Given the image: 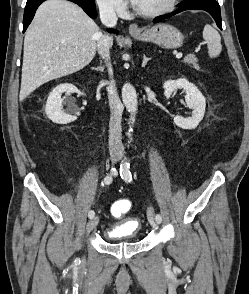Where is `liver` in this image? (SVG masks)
<instances>
[{
	"label": "liver",
	"instance_id": "obj_1",
	"mask_svg": "<svg viewBox=\"0 0 249 294\" xmlns=\"http://www.w3.org/2000/svg\"><path fill=\"white\" fill-rule=\"evenodd\" d=\"M101 36L78 5L65 0L42 3L24 38L20 100L44 83L87 66Z\"/></svg>",
	"mask_w": 249,
	"mask_h": 294
}]
</instances>
